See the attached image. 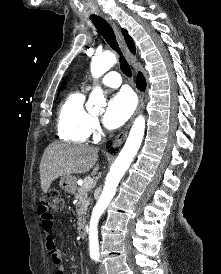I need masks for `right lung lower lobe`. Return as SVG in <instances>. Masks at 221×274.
Wrapping results in <instances>:
<instances>
[{
  "label": "right lung lower lobe",
  "mask_w": 221,
  "mask_h": 274,
  "mask_svg": "<svg viewBox=\"0 0 221 274\" xmlns=\"http://www.w3.org/2000/svg\"><path fill=\"white\" fill-rule=\"evenodd\" d=\"M145 87H146L145 78H144L143 74L141 72H139L138 77H137V88L140 90H144ZM107 148H109V145L107 146ZM113 151H115V149L111 148L110 152L113 153Z\"/></svg>",
  "instance_id": "1"
}]
</instances>
